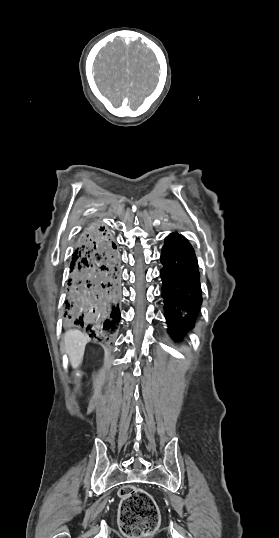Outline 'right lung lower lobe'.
I'll return each mask as SVG.
<instances>
[{"label": "right lung lower lobe", "instance_id": "1", "mask_svg": "<svg viewBox=\"0 0 279 538\" xmlns=\"http://www.w3.org/2000/svg\"><path fill=\"white\" fill-rule=\"evenodd\" d=\"M120 260L113 234L95 222L75 242L63 323L90 336L114 331L120 321Z\"/></svg>", "mask_w": 279, "mask_h": 538}]
</instances>
